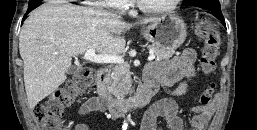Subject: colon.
I'll return each instance as SVG.
<instances>
[{"instance_id":"1","label":"colon","mask_w":257,"mask_h":130,"mask_svg":"<svg viewBox=\"0 0 257 130\" xmlns=\"http://www.w3.org/2000/svg\"><path fill=\"white\" fill-rule=\"evenodd\" d=\"M196 32L204 39L200 57V67L204 74H213L216 70V58L221 46L219 31L206 19L198 18ZM97 79L95 71L83 68L74 75L64 87L59 89L51 102L38 105L34 109V116L42 130H69L62 120L65 110L78 98L96 89ZM215 84L206 85L200 96L203 106L210 105Z\"/></svg>"}]
</instances>
